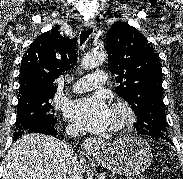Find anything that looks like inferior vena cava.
Here are the masks:
<instances>
[{
    "label": "inferior vena cava",
    "instance_id": "obj_1",
    "mask_svg": "<svg viewBox=\"0 0 183 179\" xmlns=\"http://www.w3.org/2000/svg\"><path fill=\"white\" fill-rule=\"evenodd\" d=\"M79 132L80 131L78 129H72V128L67 131V133L72 136H77L79 134ZM82 168L83 167H82L81 160H78V158L73 155L67 166V172L69 175V179H83Z\"/></svg>",
    "mask_w": 183,
    "mask_h": 179
}]
</instances>
